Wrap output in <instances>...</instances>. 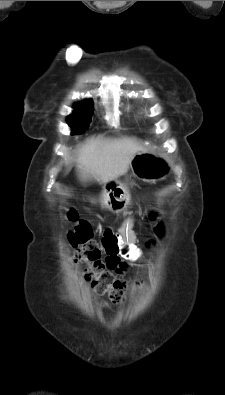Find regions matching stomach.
<instances>
[{
  "label": "stomach",
  "instance_id": "1",
  "mask_svg": "<svg viewBox=\"0 0 225 395\" xmlns=\"http://www.w3.org/2000/svg\"><path fill=\"white\" fill-rule=\"evenodd\" d=\"M130 168L135 177L145 182L164 179L169 172L163 158L147 152L137 153L131 160ZM103 189V205L112 212L122 211L129 203L128 190L121 182L112 180Z\"/></svg>",
  "mask_w": 225,
  "mask_h": 395
}]
</instances>
